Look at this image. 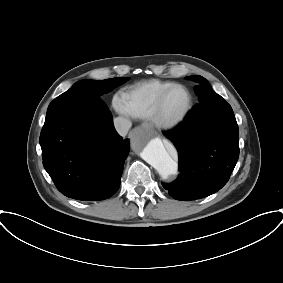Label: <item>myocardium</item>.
I'll list each match as a JSON object with an SVG mask.
<instances>
[{
	"label": "myocardium",
	"instance_id": "myocardium-1",
	"mask_svg": "<svg viewBox=\"0 0 283 283\" xmlns=\"http://www.w3.org/2000/svg\"><path fill=\"white\" fill-rule=\"evenodd\" d=\"M175 89H183L184 91H186L188 95V103L184 111L179 116L169 119L164 117L162 113V107L165 98L169 95L170 92H172ZM193 105H194V98L190 89L182 84H173L170 87L166 88L157 98L150 119L153 125L158 129L166 130V131L173 130L179 127L187 119V117L189 116V114L193 109Z\"/></svg>",
	"mask_w": 283,
	"mask_h": 283
}]
</instances>
